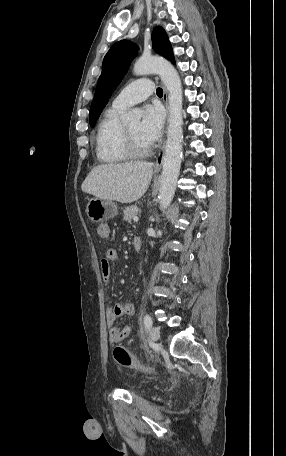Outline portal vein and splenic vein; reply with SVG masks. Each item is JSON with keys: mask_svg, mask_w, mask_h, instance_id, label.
Instances as JSON below:
<instances>
[{"mask_svg": "<svg viewBox=\"0 0 286 456\" xmlns=\"http://www.w3.org/2000/svg\"><path fill=\"white\" fill-rule=\"evenodd\" d=\"M133 220H134V222H138L139 218L138 217H134Z\"/></svg>", "mask_w": 286, "mask_h": 456, "instance_id": "18ae733b", "label": "portal vein and splenic vein"}]
</instances>
